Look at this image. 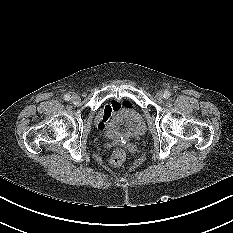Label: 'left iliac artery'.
Returning <instances> with one entry per match:
<instances>
[{"label": "left iliac artery", "mask_w": 233, "mask_h": 233, "mask_svg": "<svg viewBox=\"0 0 233 233\" xmlns=\"http://www.w3.org/2000/svg\"><path fill=\"white\" fill-rule=\"evenodd\" d=\"M170 96V92L169 91H164V95H163V97L164 98H168Z\"/></svg>", "instance_id": "1"}]
</instances>
